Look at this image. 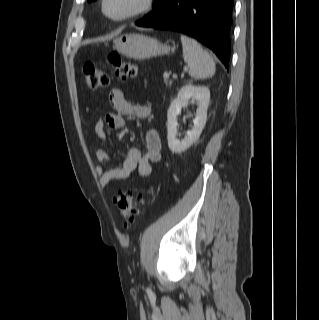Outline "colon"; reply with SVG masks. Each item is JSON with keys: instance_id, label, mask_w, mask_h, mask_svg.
<instances>
[{"instance_id": "1", "label": "colon", "mask_w": 319, "mask_h": 320, "mask_svg": "<svg viewBox=\"0 0 319 320\" xmlns=\"http://www.w3.org/2000/svg\"><path fill=\"white\" fill-rule=\"evenodd\" d=\"M107 61L114 68L115 75L121 80H133L138 76L137 66L131 62L123 61L117 52H110ZM82 71L87 86L92 90L106 87L109 84V75L92 62L84 63ZM113 200L124 222L127 225L135 223L144 200L143 195L136 194L131 190H124L115 195Z\"/></svg>"}]
</instances>
